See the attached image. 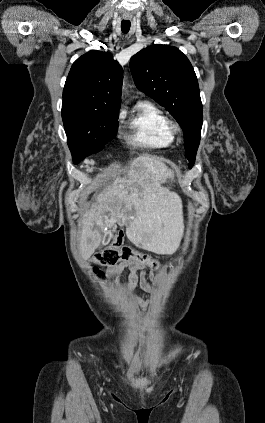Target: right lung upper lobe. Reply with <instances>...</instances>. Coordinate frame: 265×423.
Instances as JSON below:
<instances>
[{
  "mask_svg": "<svg viewBox=\"0 0 265 423\" xmlns=\"http://www.w3.org/2000/svg\"><path fill=\"white\" fill-rule=\"evenodd\" d=\"M123 69L108 52L91 50L72 65L63 90V105L118 112Z\"/></svg>",
  "mask_w": 265,
  "mask_h": 423,
  "instance_id": "cb5924a9",
  "label": "right lung upper lobe"
}]
</instances>
